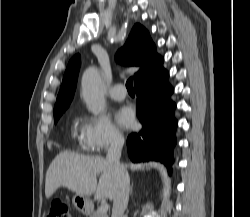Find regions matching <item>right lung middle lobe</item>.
<instances>
[{
	"instance_id": "obj_1",
	"label": "right lung middle lobe",
	"mask_w": 250,
	"mask_h": 217,
	"mask_svg": "<svg viewBox=\"0 0 250 217\" xmlns=\"http://www.w3.org/2000/svg\"><path fill=\"white\" fill-rule=\"evenodd\" d=\"M63 112H64V111L54 113V121H55V123L58 121V119H59L60 116L63 114Z\"/></svg>"
}]
</instances>
